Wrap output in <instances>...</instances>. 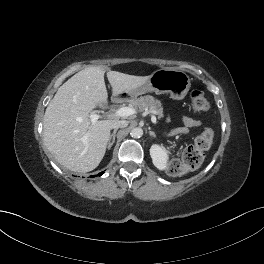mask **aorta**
I'll return each mask as SVG.
<instances>
[{"label":"aorta","instance_id":"1","mask_svg":"<svg viewBox=\"0 0 264 264\" xmlns=\"http://www.w3.org/2000/svg\"><path fill=\"white\" fill-rule=\"evenodd\" d=\"M130 135L133 138H140L143 135V130L140 127L133 128L132 131L130 132Z\"/></svg>","mask_w":264,"mask_h":264}]
</instances>
